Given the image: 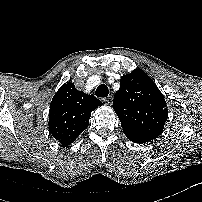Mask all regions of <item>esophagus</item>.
<instances>
[{
    "mask_svg": "<svg viewBox=\"0 0 202 202\" xmlns=\"http://www.w3.org/2000/svg\"><path fill=\"white\" fill-rule=\"evenodd\" d=\"M112 100H113V98H112L111 95L108 96L107 98H104V99H103V101H104L106 104H108V105H111V104H112Z\"/></svg>",
    "mask_w": 202,
    "mask_h": 202,
    "instance_id": "34e87169",
    "label": "esophagus"
}]
</instances>
